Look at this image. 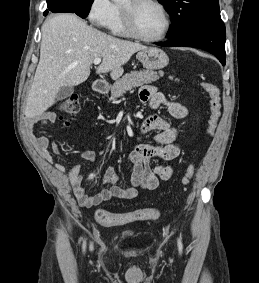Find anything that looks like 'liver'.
<instances>
[{
  "label": "liver",
  "mask_w": 259,
  "mask_h": 283,
  "mask_svg": "<svg viewBox=\"0 0 259 283\" xmlns=\"http://www.w3.org/2000/svg\"><path fill=\"white\" fill-rule=\"evenodd\" d=\"M145 48L88 26L74 14L49 17L42 26L40 60L27 99L26 117L42 115L53 105L62 87L86 81L94 59H103L97 73L110 72L117 79L131 56Z\"/></svg>",
  "instance_id": "obj_1"
}]
</instances>
